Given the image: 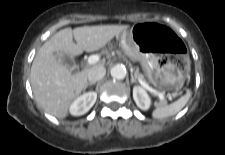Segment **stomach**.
<instances>
[{
  "label": "stomach",
  "mask_w": 225,
  "mask_h": 155,
  "mask_svg": "<svg viewBox=\"0 0 225 155\" xmlns=\"http://www.w3.org/2000/svg\"><path fill=\"white\" fill-rule=\"evenodd\" d=\"M119 39L127 56L141 63L153 85L170 88L185 80L188 67L183 43L169 27L154 22L136 23Z\"/></svg>",
  "instance_id": "obj_1"
}]
</instances>
